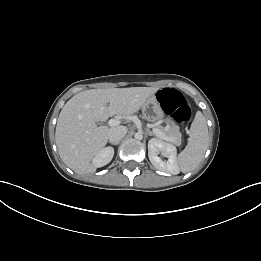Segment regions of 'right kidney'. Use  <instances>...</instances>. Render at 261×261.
Segmentation results:
<instances>
[{"label":"right kidney","instance_id":"1","mask_svg":"<svg viewBox=\"0 0 261 261\" xmlns=\"http://www.w3.org/2000/svg\"><path fill=\"white\" fill-rule=\"evenodd\" d=\"M113 155L114 149L112 147L103 148L95 155L92 160V164L95 167H103L112 160Z\"/></svg>","mask_w":261,"mask_h":261}]
</instances>
